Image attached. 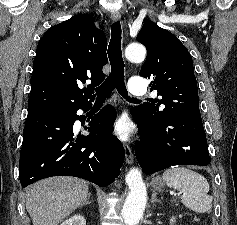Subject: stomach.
Masks as SVG:
<instances>
[{"instance_id":"obj_1","label":"stomach","mask_w":237,"mask_h":225,"mask_svg":"<svg viewBox=\"0 0 237 225\" xmlns=\"http://www.w3.org/2000/svg\"><path fill=\"white\" fill-rule=\"evenodd\" d=\"M151 186L154 190L161 192L164 188V182L161 178H154L151 182Z\"/></svg>"}]
</instances>
